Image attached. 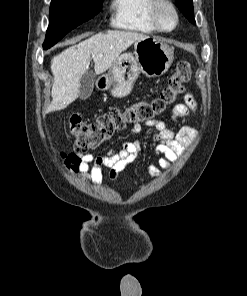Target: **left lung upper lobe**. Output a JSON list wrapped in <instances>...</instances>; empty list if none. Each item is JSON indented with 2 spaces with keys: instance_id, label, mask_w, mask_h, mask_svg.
<instances>
[{
  "instance_id": "5c2ea615",
  "label": "left lung upper lobe",
  "mask_w": 247,
  "mask_h": 296,
  "mask_svg": "<svg viewBox=\"0 0 247 296\" xmlns=\"http://www.w3.org/2000/svg\"><path fill=\"white\" fill-rule=\"evenodd\" d=\"M176 5L181 10V12L184 14V16L191 22L195 23L194 17H193V4L192 0H175Z\"/></svg>"
}]
</instances>
